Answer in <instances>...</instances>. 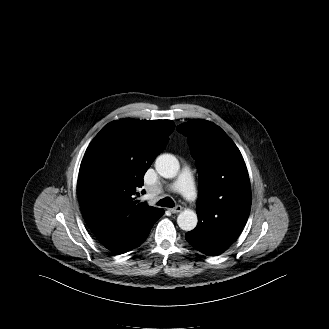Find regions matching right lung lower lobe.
<instances>
[{
    "label": "right lung lower lobe",
    "mask_w": 329,
    "mask_h": 329,
    "mask_svg": "<svg viewBox=\"0 0 329 329\" xmlns=\"http://www.w3.org/2000/svg\"><path fill=\"white\" fill-rule=\"evenodd\" d=\"M161 209L146 220L131 224H113L96 234L99 242L113 254L119 255L139 247L148 237L153 224L163 215Z\"/></svg>",
    "instance_id": "right-lung-lower-lobe-1"
}]
</instances>
